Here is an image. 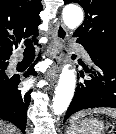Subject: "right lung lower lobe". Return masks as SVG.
<instances>
[{
	"label": "right lung lower lobe",
	"mask_w": 116,
	"mask_h": 134,
	"mask_svg": "<svg viewBox=\"0 0 116 134\" xmlns=\"http://www.w3.org/2000/svg\"><path fill=\"white\" fill-rule=\"evenodd\" d=\"M29 75H36L32 68L25 74V76ZM19 82V79L13 78L9 85L0 88V118L12 122L24 133L31 90L26 93L21 92L18 87Z\"/></svg>",
	"instance_id": "right-lung-lower-lobe-1"
}]
</instances>
